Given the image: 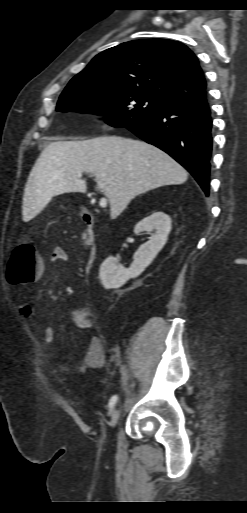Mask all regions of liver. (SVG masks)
<instances>
[{"label": "liver", "mask_w": 247, "mask_h": 513, "mask_svg": "<svg viewBox=\"0 0 247 513\" xmlns=\"http://www.w3.org/2000/svg\"><path fill=\"white\" fill-rule=\"evenodd\" d=\"M78 173L95 176L96 189L109 200L117 218L136 196L165 185L186 182L188 172L156 146L141 140L100 136L49 144L36 160L23 197V218L35 217L53 196L85 193Z\"/></svg>", "instance_id": "liver-1"}]
</instances>
